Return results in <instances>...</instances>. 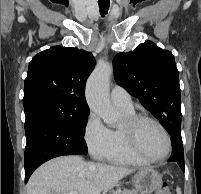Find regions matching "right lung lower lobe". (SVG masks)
I'll use <instances>...</instances> for the list:
<instances>
[{"label":"right lung lower lobe","instance_id":"98d812e1","mask_svg":"<svg viewBox=\"0 0 201 194\" xmlns=\"http://www.w3.org/2000/svg\"><path fill=\"white\" fill-rule=\"evenodd\" d=\"M25 116V183L37 167L54 157L87 154L84 138L71 127L40 112Z\"/></svg>","mask_w":201,"mask_h":194}]
</instances>
